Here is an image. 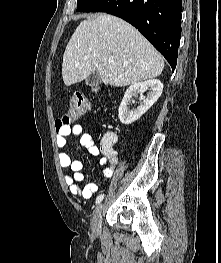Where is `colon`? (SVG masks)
I'll return each mask as SVG.
<instances>
[{"label": "colon", "instance_id": "colon-1", "mask_svg": "<svg viewBox=\"0 0 221 263\" xmlns=\"http://www.w3.org/2000/svg\"><path fill=\"white\" fill-rule=\"evenodd\" d=\"M90 109L89 101L82 95H74L71 98L70 107L64 115L56 120V129L60 131L61 129L67 127L73 121L79 119Z\"/></svg>", "mask_w": 221, "mask_h": 263}]
</instances>
